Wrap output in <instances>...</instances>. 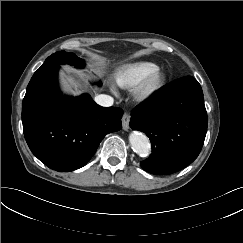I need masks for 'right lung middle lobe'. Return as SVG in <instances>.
Returning <instances> with one entry per match:
<instances>
[{
    "label": "right lung middle lobe",
    "mask_w": 243,
    "mask_h": 243,
    "mask_svg": "<svg viewBox=\"0 0 243 243\" xmlns=\"http://www.w3.org/2000/svg\"><path fill=\"white\" fill-rule=\"evenodd\" d=\"M62 64H69L78 67L84 66V61L78 58L74 53H67L65 51H58L51 56H49L44 64L43 67L50 68L54 66H59Z\"/></svg>",
    "instance_id": "obj_1"
}]
</instances>
